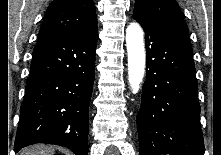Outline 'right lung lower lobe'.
<instances>
[{"instance_id": "1", "label": "right lung lower lobe", "mask_w": 221, "mask_h": 155, "mask_svg": "<svg viewBox=\"0 0 221 155\" xmlns=\"http://www.w3.org/2000/svg\"><path fill=\"white\" fill-rule=\"evenodd\" d=\"M97 40V26L39 37L20 109L16 152L31 144L48 143L87 155Z\"/></svg>"}]
</instances>
